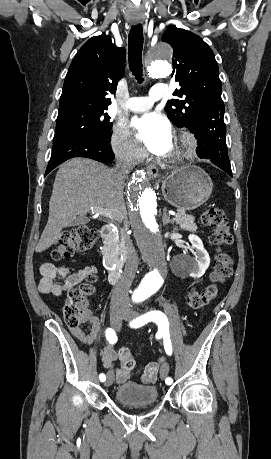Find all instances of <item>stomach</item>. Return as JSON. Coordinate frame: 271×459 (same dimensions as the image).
<instances>
[{"mask_svg":"<svg viewBox=\"0 0 271 459\" xmlns=\"http://www.w3.org/2000/svg\"><path fill=\"white\" fill-rule=\"evenodd\" d=\"M212 180L198 166H183L162 182L161 192L168 204L181 210H195L212 194Z\"/></svg>","mask_w":271,"mask_h":459,"instance_id":"0dacf381","label":"stomach"}]
</instances>
